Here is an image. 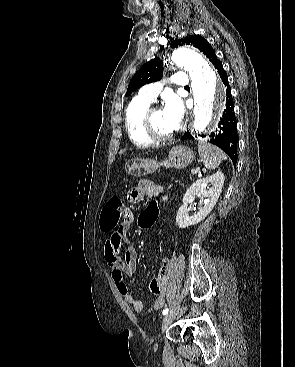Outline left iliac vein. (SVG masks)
Segmentation results:
<instances>
[{
    "instance_id": "left-iliac-vein-1",
    "label": "left iliac vein",
    "mask_w": 295,
    "mask_h": 367,
    "mask_svg": "<svg viewBox=\"0 0 295 367\" xmlns=\"http://www.w3.org/2000/svg\"><path fill=\"white\" fill-rule=\"evenodd\" d=\"M179 306H176L175 308H173L171 311H169L165 317L163 318L162 321V330H165L170 324L171 322L174 320L177 312H178Z\"/></svg>"
}]
</instances>
